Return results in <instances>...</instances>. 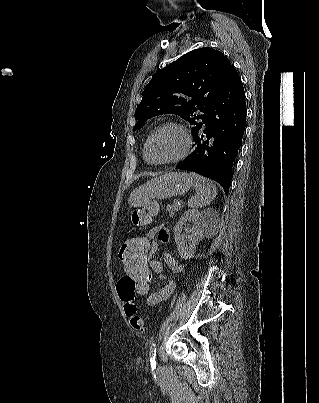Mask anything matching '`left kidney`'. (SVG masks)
<instances>
[{
	"label": "left kidney",
	"instance_id": "obj_1",
	"mask_svg": "<svg viewBox=\"0 0 319 403\" xmlns=\"http://www.w3.org/2000/svg\"><path fill=\"white\" fill-rule=\"evenodd\" d=\"M216 218L217 214L211 208H208L203 212H199L196 209H189L184 212L174 227L175 242L178 253L182 258L188 259L193 257L196 246L203 238V234L208 223L212 220H216ZM187 221L193 224L192 228L190 229L188 242L185 241L186 235L182 233L183 225Z\"/></svg>",
	"mask_w": 319,
	"mask_h": 403
}]
</instances>
